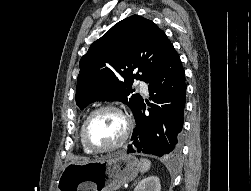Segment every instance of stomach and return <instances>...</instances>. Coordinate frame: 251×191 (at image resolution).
<instances>
[{
    "label": "stomach",
    "mask_w": 251,
    "mask_h": 191,
    "mask_svg": "<svg viewBox=\"0 0 251 191\" xmlns=\"http://www.w3.org/2000/svg\"><path fill=\"white\" fill-rule=\"evenodd\" d=\"M140 171L131 153H111L96 161H71L57 183L58 191H114L132 181Z\"/></svg>",
    "instance_id": "1"
}]
</instances>
